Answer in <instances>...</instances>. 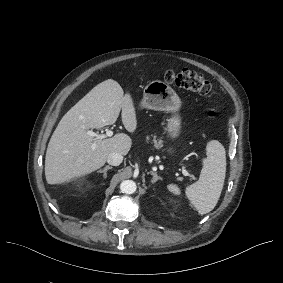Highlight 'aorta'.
Segmentation results:
<instances>
[{
  "label": "aorta",
  "instance_id": "1",
  "mask_svg": "<svg viewBox=\"0 0 283 283\" xmlns=\"http://www.w3.org/2000/svg\"><path fill=\"white\" fill-rule=\"evenodd\" d=\"M137 189L136 183L132 180H124L120 184V190L125 194H133Z\"/></svg>",
  "mask_w": 283,
  "mask_h": 283
}]
</instances>
